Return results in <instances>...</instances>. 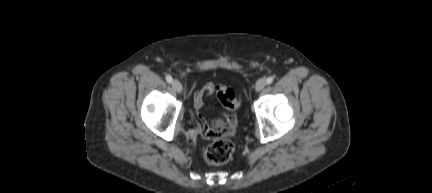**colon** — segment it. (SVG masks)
Returning <instances> with one entry per match:
<instances>
[{"label": "colon", "instance_id": "1", "mask_svg": "<svg viewBox=\"0 0 432 193\" xmlns=\"http://www.w3.org/2000/svg\"><path fill=\"white\" fill-rule=\"evenodd\" d=\"M217 98L222 107L235 112L240 107V100L235 92L226 85L220 84L216 87ZM234 151L233 142L226 138H217L204 150V160L210 165H221L229 161Z\"/></svg>", "mask_w": 432, "mask_h": 193}]
</instances>
